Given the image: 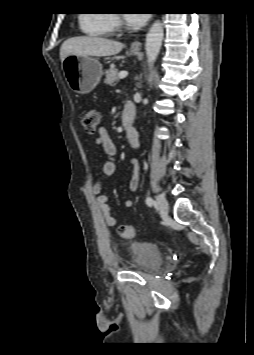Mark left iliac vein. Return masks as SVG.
Listing matches in <instances>:
<instances>
[{
    "mask_svg": "<svg viewBox=\"0 0 254 355\" xmlns=\"http://www.w3.org/2000/svg\"><path fill=\"white\" fill-rule=\"evenodd\" d=\"M156 206L162 216H166L169 211V204L164 195L160 194L156 198Z\"/></svg>",
    "mask_w": 254,
    "mask_h": 355,
    "instance_id": "1",
    "label": "left iliac vein"
}]
</instances>
